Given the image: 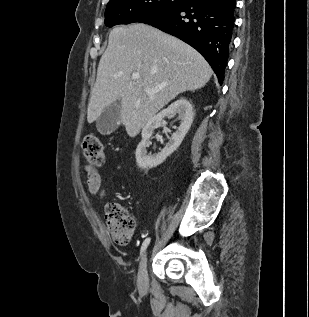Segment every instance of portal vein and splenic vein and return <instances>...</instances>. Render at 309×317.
Here are the masks:
<instances>
[{
	"label": "portal vein and splenic vein",
	"instance_id": "obj_1",
	"mask_svg": "<svg viewBox=\"0 0 309 317\" xmlns=\"http://www.w3.org/2000/svg\"><path fill=\"white\" fill-rule=\"evenodd\" d=\"M140 78V75L139 73H133L132 74V79H139ZM161 88H156V89H146V91L148 93H156L160 90Z\"/></svg>",
	"mask_w": 309,
	"mask_h": 317
}]
</instances>
